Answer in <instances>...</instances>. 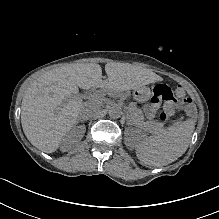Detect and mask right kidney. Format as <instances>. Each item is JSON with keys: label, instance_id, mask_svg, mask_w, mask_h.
<instances>
[{"label": "right kidney", "instance_id": "ca27d5eb", "mask_svg": "<svg viewBox=\"0 0 219 219\" xmlns=\"http://www.w3.org/2000/svg\"><path fill=\"white\" fill-rule=\"evenodd\" d=\"M72 136H73V130H71L70 133L68 134V139H69L70 142H73ZM82 137H83V134L81 133V134H80V137L78 138V140H80ZM60 150H61L62 152H65L66 150H68V145L63 142V143L61 144V146H60Z\"/></svg>", "mask_w": 219, "mask_h": 219}]
</instances>
